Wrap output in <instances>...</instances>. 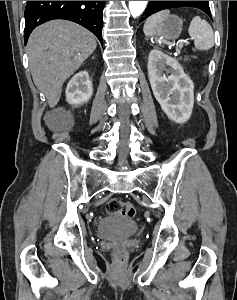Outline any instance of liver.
Wrapping results in <instances>:
<instances>
[{
    "label": "liver",
    "mask_w": 237,
    "mask_h": 300,
    "mask_svg": "<svg viewBox=\"0 0 237 300\" xmlns=\"http://www.w3.org/2000/svg\"><path fill=\"white\" fill-rule=\"evenodd\" d=\"M97 47L87 29L70 21H49L28 39V59L35 87L56 107L62 87Z\"/></svg>",
    "instance_id": "6515ba94"
}]
</instances>
